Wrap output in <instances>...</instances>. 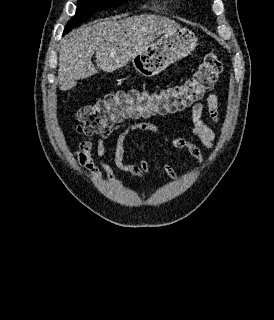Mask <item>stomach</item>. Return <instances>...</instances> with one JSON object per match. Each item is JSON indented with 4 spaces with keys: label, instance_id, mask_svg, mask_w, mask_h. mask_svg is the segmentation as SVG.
Segmentation results:
<instances>
[{
    "label": "stomach",
    "instance_id": "0dacf381",
    "mask_svg": "<svg viewBox=\"0 0 274 320\" xmlns=\"http://www.w3.org/2000/svg\"><path fill=\"white\" fill-rule=\"evenodd\" d=\"M197 38L187 28L168 30L155 44H150L146 52L132 58V64L145 78H153L166 70L173 62L189 56L195 50Z\"/></svg>",
    "mask_w": 274,
    "mask_h": 320
}]
</instances>
